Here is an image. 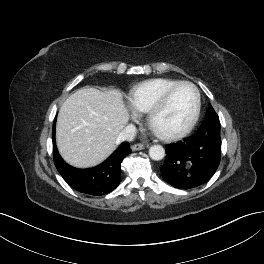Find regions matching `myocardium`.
<instances>
[{"instance_id": "f54148a6", "label": "myocardium", "mask_w": 264, "mask_h": 264, "mask_svg": "<svg viewBox=\"0 0 264 264\" xmlns=\"http://www.w3.org/2000/svg\"><path fill=\"white\" fill-rule=\"evenodd\" d=\"M182 85H188L192 87L195 92V96H196L195 108H194V111H193V114L190 120L184 127L174 132H162V131L157 130L153 125L155 116L166 106L173 91ZM201 105H202L201 92L199 88L197 87V85L187 80L177 81L176 83L166 88L165 91L160 96V98L149 109L148 114H147V119H146L147 126L157 137H159L162 140L173 141V140L180 139L184 137L185 135H187L196 125L200 117Z\"/></svg>"}]
</instances>
